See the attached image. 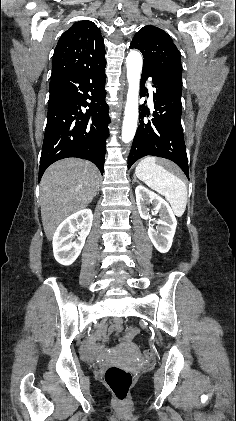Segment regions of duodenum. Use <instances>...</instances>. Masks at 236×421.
<instances>
[{"label": "duodenum", "instance_id": "duodenum-1", "mask_svg": "<svg viewBox=\"0 0 236 421\" xmlns=\"http://www.w3.org/2000/svg\"><path fill=\"white\" fill-rule=\"evenodd\" d=\"M115 328L120 330L122 328L121 324L118 323ZM97 356L96 347L92 343H88L85 347V357L89 360L94 359Z\"/></svg>", "mask_w": 236, "mask_h": 421}]
</instances>
